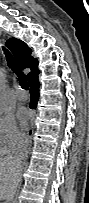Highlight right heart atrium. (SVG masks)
<instances>
[{
    "label": "right heart atrium",
    "mask_w": 89,
    "mask_h": 203,
    "mask_svg": "<svg viewBox=\"0 0 89 203\" xmlns=\"http://www.w3.org/2000/svg\"><path fill=\"white\" fill-rule=\"evenodd\" d=\"M25 140L14 117L9 113L0 115V144L4 153L15 151Z\"/></svg>",
    "instance_id": "obj_1"
}]
</instances>
